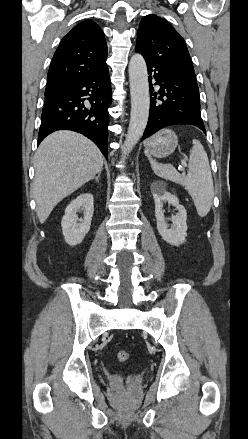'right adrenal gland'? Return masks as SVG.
<instances>
[{
    "instance_id": "obj_1",
    "label": "right adrenal gland",
    "mask_w": 248,
    "mask_h": 439,
    "mask_svg": "<svg viewBox=\"0 0 248 439\" xmlns=\"http://www.w3.org/2000/svg\"><path fill=\"white\" fill-rule=\"evenodd\" d=\"M101 172H102V170L99 171L98 175L94 178L96 180V182H99V178H100Z\"/></svg>"
}]
</instances>
